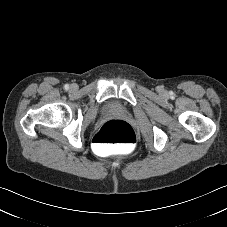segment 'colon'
Instances as JSON below:
<instances>
[{
  "mask_svg": "<svg viewBox=\"0 0 227 227\" xmlns=\"http://www.w3.org/2000/svg\"><path fill=\"white\" fill-rule=\"evenodd\" d=\"M134 142L135 136L132 127L123 121L106 122L94 137V145L97 149L108 144L131 146Z\"/></svg>",
  "mask_w": 227,
  "mask_h": 227,
  "instance_id": "colon-1",
  "label": "colon"
}]
</instances>
